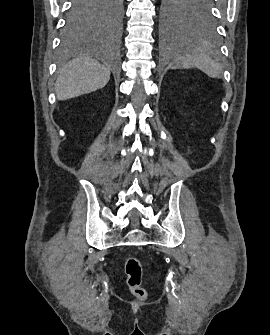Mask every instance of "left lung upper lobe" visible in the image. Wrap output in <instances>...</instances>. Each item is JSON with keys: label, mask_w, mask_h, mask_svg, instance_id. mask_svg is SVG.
<instances>
[{"label": "left lung upper lobe", "mask_w": 270, "mask_h": 335, "mask_svg": "<svg viewBox=\"0 0 270 335\" xmlns=\"http://www.w3.org/2000/svg\"><path fill=\"white\" fill-rule=\"evenodd\" d=\"M160 17L165 32L215 30L211 0H161Z\"/></svg>", "instance_id": "left-lung-upper-lobe-1"}]
</instances>
